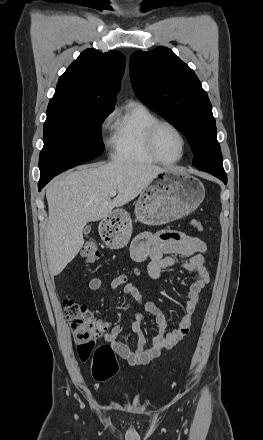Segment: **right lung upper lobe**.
<instances>
[{"label": "right lung upper lobe", "mask_w": 263, "mask_h": 440, "mask_svg": "<svg viewBox=\"0 0 263 440\" xmlns=\"http://www.w3.org/2000/svg\"><path fill=\"white\" fill-rule=\"evenodd\" d=\"M126 58L119 51H83L59 78L47 117L113 111Z\"/></svg>", "instance_id": "right-lung-upper-lobe-1"}]
</instances>
